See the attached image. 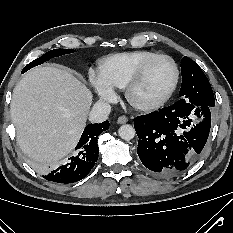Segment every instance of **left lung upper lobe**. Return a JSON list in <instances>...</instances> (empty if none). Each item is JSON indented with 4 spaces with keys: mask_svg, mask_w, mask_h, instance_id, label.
Returning a JSON list of instances; mask_svg holds the SVG:
<instances>
[{
    "mask_svg": "<svg viewBox=\"0 0 233 233\" xmlns=\"http://www.w3.org/2000/svg\"><path fill=\"white\" fill-rule=\"evenodd\" d=\"M182 86L179 96L181 102H188L196 106L215 105L211 85L202 69L190 58L181 59Z\"/></svg>",
    "mask_w": 233,
    "mask_h": 233,
    "instance_id": "5c2ea615",
    "label": "left lung upper lobe"
}]
</instances>
